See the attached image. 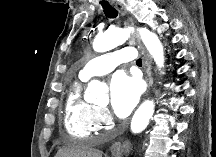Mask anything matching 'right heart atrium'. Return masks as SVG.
<instances>
[{
  "label": "right heart atrium",
  "mask_w": 216,
  "mask_h": 157,
  "mask_svg": "<svg viewBox=\"0 0 216 157\" xmlns=\"http://www.w3.org/2000/svg\"><path fill=\"white\" fill-rule=\"evenodd\" d=\"M112 118L109 111L103 107H96L93 116V123L96 130L107 128L111 124Z\"/></svg>",
  "instance_id": "1"
}]
</instances>
